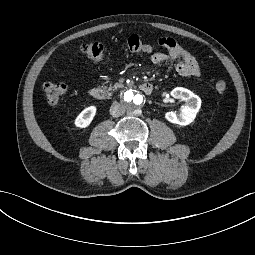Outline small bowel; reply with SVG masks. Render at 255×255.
Returning <instances> with one entry per match:
<instances>
[{
    "label": "small bowel",
    "instance_id": "obj_1",
    "mask_svg": "<svg viewBox=\"0 0 255 255\" xmlns=\"http://www.w3.org/2000/svg\"><path fill=\"white\" fill-rule=\"evenodd\" d=\"M159 43L167 49V53H154L151 56L153 64L159 65L173 62L175 64V69L180 76H200L201 70L198 61L190 52L179 46L170 38L160 39Z\"/></svg>",
    "mask_w": 255,
    "mask_h": 255
}]
</instances>
